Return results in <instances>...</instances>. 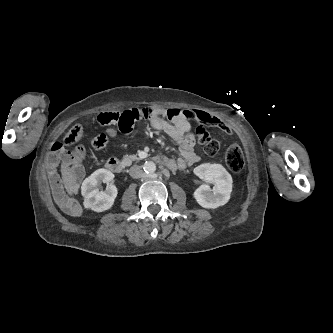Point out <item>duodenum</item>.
I'll list each match as a JSON object with an SVG mask.
<instances>
[{
    "mask_svg": "<svg viewBox=\"0 0 333 333\" xmlns=\"http://www.w3.org/2000/svg\"><path fill=\"white\" fill-rule=\"evenodd\" d=\"M156 160L160 163L166 162V158L163 156L156 157ZM105 167L107 170L113 173H121L123 170V165L117 158L108 159L105 163Z\"/></svg>",
    "mask_w": 333,
    "mask_h": 333,
    "instance_id": "410a0bca",
    "label": "duodenum"
}]
</instances>
